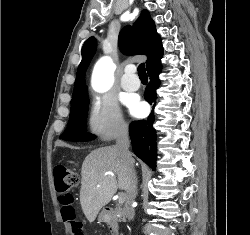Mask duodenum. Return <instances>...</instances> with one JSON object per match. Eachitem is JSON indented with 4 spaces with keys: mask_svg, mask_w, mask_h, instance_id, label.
Here are the masks:
<instances>
[{
    "mask_svg": "<svg viewBox=\"0 0 250 235\" xmlns=\"http://www.w3.org/2000/svg\"><path fill=\"white\" fill-rule=\"evenodd\" d=\"M105 215L107 216L106 223L110 233L118 235L119 225L125 221L123 212L120 210H108L105 212Z\"/></svg>",
    "mask_w": 250,
    "mask_h": 235,
    "instance_id": "410a0bca",
    "label": "duodenum"
}]
</instances>
